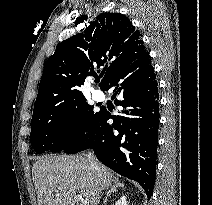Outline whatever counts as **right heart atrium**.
Instances as JSON below:
<instances>
[{
  "label": "right heart atrium",
  "mask_w": 212,
  "mask_h": 205,
  "mask_svg": "<svg viewBox=\"0 0 212 205\" xmlns=\"http://www.w3.org/2000/svg\"><path fill=\"white\" fill-rule=\"evenodd\" d=\"M73 132H74V125L73 124H67L63 128V134L65 136H69V135L73 134Z\"/></svg>",
  "instance_id": "d8ad5b80"
}]
</instances>
